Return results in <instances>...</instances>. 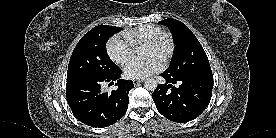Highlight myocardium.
<instances>
[{
	"mask_svg": "<svg viewBox=\"0 0 276 138\" xmlns=\"http://www.w3.org/2000/svg\"><path fill=\"white\" fill-rule=\"evenodd\" d=\"M167 45V51L162 58V63L167 64L175 51V41L173 35L168 31H163L156 35L153 39L148 41L145 45L150 47H160L161 45Z\"/></svg>",
	"mask_w": 276,
	"mask_h": 138,
	"instance_id": "obj_1",
	"label": "myocardium"
}]
</instances>
